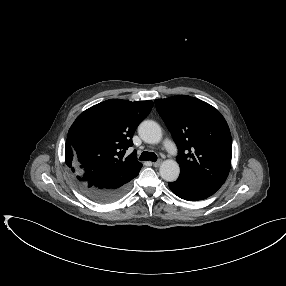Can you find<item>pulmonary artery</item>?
Masks as SVG:
<instances>
[{
	"label": "pulmonary artery",
	"mask_w": 286,
	"mask_h": 286,
	"mask_svg": "<svg viewBox=\"0 0 286 286\" xmlns=\"http://www.w3.org/2000/svg\"><path fill=\"white\" fill-rule=\"evenodd\" d=\"M163 146L171 157H176L178 155V149L171 140L165 139Z\"/></svg>",
	"instance_id": "pulmonary-artery-1"
}]
</instances>
